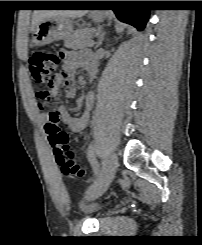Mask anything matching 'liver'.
I'll use <instances>...</instances> for the list:
<instances>
[{
	"label": "liver",
	"instance_id": "1",
	"mask_svg": "<svg viewBox=\"0 0 202 245\" xmlns=\"http://www.w3.org/2000/svg\"><path fill=\"white\" fill-rule=\"evenodd\" d=\"M88 10H35L32 17L31 31L47 17L81 18Z\"/></svg>",
	"mask_w": 202,
	"mask_h": 245
}]
</instances>
